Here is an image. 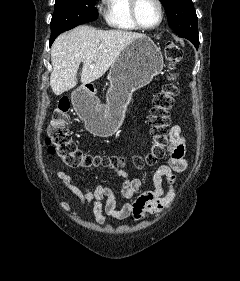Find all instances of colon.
<instances>
[{
  "label": "colon",
  "mask_w": 240,
  "mask_h": 281,
  "mask_svg": "<svg viewBox=\"0 0 240 281\" xmlns=\"http://www.w3.org/2000/svg\"><path fill=\"white\" fill-rule=\"evenodd\" d=\"M165 58L168 68L167 81L162 89L154 95L149 118L153 139L152 145L147 154L137 159L136 164L138 167L153 165L166 154L170 131L169 112L178 93L176 79L177 68L182 59L180 46L173 41L167 42ZM69 111V99L61 98L53 112L45 139L49 153L59 157L70 168L90 169L123 166L124 160L122 158L88 153L77 146L68 127L70 121Z\"/></svg>",
  "instance_id": "colon-1"
}]
</instances>
